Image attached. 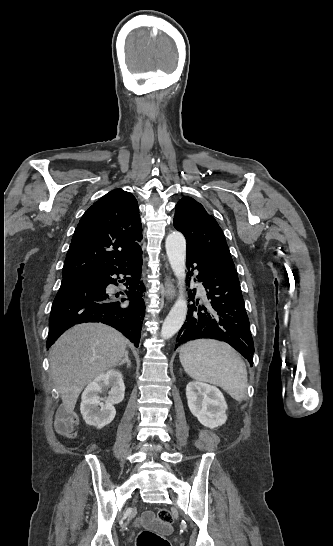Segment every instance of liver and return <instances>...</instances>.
<instances>
[{"label": "liver", "instance_id": "1", "mask_svg": "<svg viewBox=\"0 0 333 546\" xmlns=\"http://www.w3.org/2000/svg\"><path fill=\"white\" fill-rule=\"evenodd\" d=\"M126 344L121 333L101 323L75 326L56 341L50 354L51 376L67 414H73L88 383L120 363Z\"/></svg>", "mask_w": 333, "mask_h": 546}]
</instances>
